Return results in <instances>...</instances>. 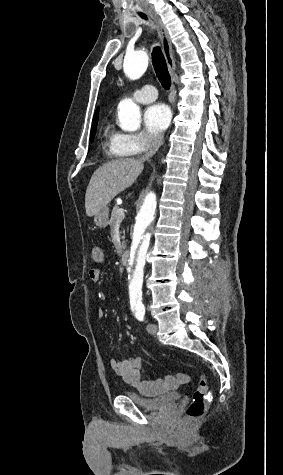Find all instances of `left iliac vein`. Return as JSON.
<instances>
[{
  "mask_svg": "<svg viewBox=\"0 0 283 475\" xmlns=\"http://www.w3.org/2000/svg\"><path fill=\"white\" fill-rule=\"evenodd\" d=\"M157 330H158V327L157 325L153 324V323H149L147 325V331L148 333L150 334H156L157 333Z\"/></svg>",
  "mask_w": 283,
  "mask_h": 475,
  "instance_id": "left-iliac-vein-1",
  "label": "left iliac vein"
}]
</instances>
